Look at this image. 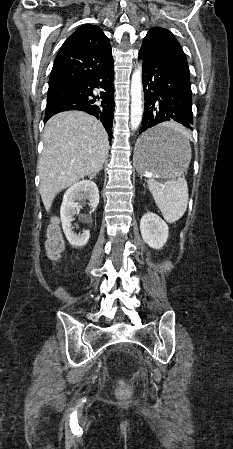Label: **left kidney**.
<instances>
[{"instance_id":"obj_1","label":"left kidney","mask_w":233,"mask_h":449,"mask_svg":"<svg viewBox=\"0 0 233 449\" xmlns=\"http://www.w3.org/2000/svg\"><path fill=\"white\" fill-rule=\"evenodd\" d=\"M142 238L153 249H161L166 243L169 228L158 215L148 212L140 220Z\"/></svg>"}]
</instances>
